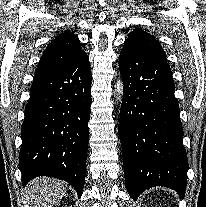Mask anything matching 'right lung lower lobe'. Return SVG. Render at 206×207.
Wrapping results in <instances>:
<instances>
[{"mask_svg":"<svg viewBox=\"0 0 206 207\" xmlns=\"http://www.w3.org/2000/svg\"><path fill=\"white\" fill-rule=\"evenodd\" d=\"M88 56L34 78L21 129L19 169L25 186L38 176L70 183L82 195L91 113Z\"/></svg>","mask_w":206,"mask_h":207,"instance_id":"1","label":"right lung lower lobe"}]
</instances>
